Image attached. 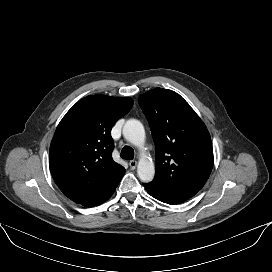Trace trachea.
I'll list each match as a JSON object with an SVG mask.
<instances>
[{
    "instance_id": "trachea-1",
    "label": "trachea",
    "mask_w": 272,
    "mask_h": 272,
    "mask_svg": "<svg viewBox=\"0 0 272 272\" xmlns=\"http://www.w3.org/2000/svg\"><path fill=\"white\" fill-rule=\"evenodd\" d=\"M121 158L126 160H132L134 158V150L129 146H125L120 154Z\"/></svg>"
}]
</instances>
